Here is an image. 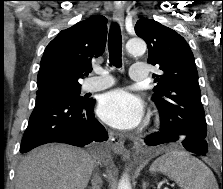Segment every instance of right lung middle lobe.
I'll return each instance as SVG.
<instances>
[{"label":"right lung middle lobe","instance_id":"obj_1","mask_svg":"<svg viewBox=\"0 0 223 189\" xmlns=\"http://www.w3.org/2000/svg\"><path fill=\"white\" fill-rule=\"evenodd\" d=\"M81 87L77 88H57L45 92L37 93V97H63L83 102L84 98L79 96Z\"/></svg>","mask_w":223,"mask_h":189}]
</instances>
